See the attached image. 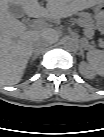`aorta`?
<instances>
[{"label": "aorta", "instance_id": "1", "mask_svg": "<svg viewBox=\"0 0 104 137\" xmlns=\"http://www.w3.org/2000/svg\"><path fill=\"white\" fill-rule=\"evenodd\" d=\"M62 47L68 52H75L78 49V42L74 38L65 37L61 41Z\"/></svg>", "mask_w": 104, "mask_h": 137}]
</instances>
